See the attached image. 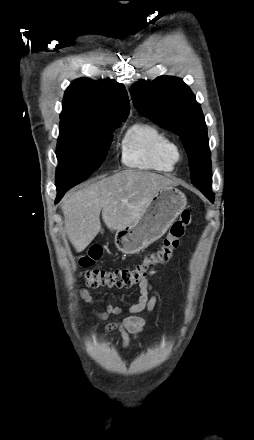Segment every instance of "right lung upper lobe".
<instances>
[{"label": "right lung upper lobe", "mask_w": 254, "mask_h": 440, "mask_svg": "<svg viewBox=\"0 0 254 440\" xmlns=\"http://www.w3.org/2000/svg\"><path fill=\"white\" fill-rule=\"evenodd\" d=\"M129 99L125 87L107 79L94 82L80 78L65 91L61 121L105 125L125 120Z\"/></svg>", "instance_id": "cb5924a9"}]
</instances>
